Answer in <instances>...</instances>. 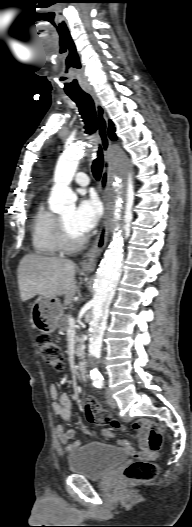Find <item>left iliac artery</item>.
I'll use <instances>...</instances> for the list:
<instances>
[{
	"mask_svg": "<svg viewBox=\"0 0 192 527\" xmlns=\"http://www.w3.org/2000/svg\"><path fill=\"white\" fill-rule=\"evenodd\" d=\"M96 386L102 388V387L104 386V382H103V381L98 382V383L96 384Z\"/></svg>",
	"mask_w": 192,
	"mask_h": 527,
	"instance_id": "44dca946",
	"label": "left iliac artery"
}]
</instances>
